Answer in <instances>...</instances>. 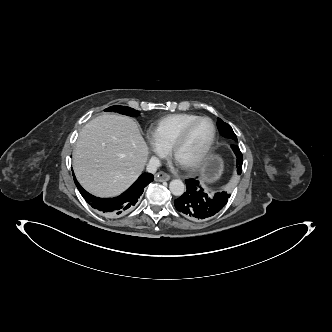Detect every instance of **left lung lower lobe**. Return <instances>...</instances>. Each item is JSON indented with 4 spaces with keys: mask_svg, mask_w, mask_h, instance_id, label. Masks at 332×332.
<instances>
[{
    "mask_svg": "<svg viewBox=\"0 0 332 332\" xmlns=\"http://www.w3.org/2000/svg\"><path fill=\"white\" fill-rule=\"evenodd\" d=\"M237 157L238 174L242 172L243 156L238 146L232 145ZM187 191L174 201L176 209L187 218L196 221H205L216 215L227 203L230 194L226 192L216 193L210 197L200 187L199 181L187 179Z\"/></svg>",
    "mask_w": 332,
    "mask_h": 332,
    "instance_id": "1",
    "label": "left lung lower lobe"
}]
</instances>
